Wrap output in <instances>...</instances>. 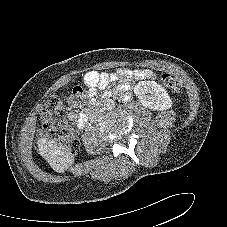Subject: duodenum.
Returning <instances> with one entry per match:
<instances>
[{"instance_id": "1", "label": "duodenum", "mask_w": 227, "mask_h": 227, "mask_svg": "<svg viewBox=\"0 0 227 227\" xmlns=\"http://www.w3.org/2000/svg\"><path fill=\"white\" fill-rule=\"evenodd\" d=\"M97 107V103H92L87 109L82 111L77 118V126L79 129L85 128L88 123L89 114L91 113L92 109Z\"/></svg>"}]
</instances>
